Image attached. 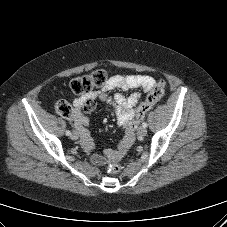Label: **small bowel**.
<instances>
[{
	"mask_svg": "<svg viewBox=\"0 0 227 227\" xmlns=\"http://www.w3.org/2000/svg\"><path fill=\"white\" fill-rule=\"evenodd\" d=\"M155 80L148 75H114L108 78L103 89L96 94L80 96L74 100V111L70 117L75 129L80 135L82 146L91 161L97 165L107 164L110 160L123 156L130 148L134 138L135 119L138 110L137 105L141 101L140 93H133L126 97L121 92L116 93L113 98H108L106 92L112 90L128 91L140 88L144 92H150L155 85ZM97 99L111 106L116 115L117 122L123 127L124 133L115 149H108L100 155L94 152V142L88 129L89 120L85 113H91L97 106Z\"/></svg>",
	"mask_w": 227,
	"mask_h": 227,
	"instance_id": "1",
	"label": "small bowel"
}]
</instances>
